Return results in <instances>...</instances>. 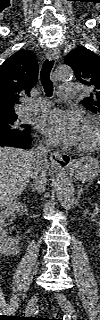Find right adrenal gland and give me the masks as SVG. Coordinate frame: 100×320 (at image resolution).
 <instances>
[{
    "label": "right adrenal gland",
    "mask_w": 100,
    "mask_h": 320,
    "mask_svg": "<svg viewBox=\"0 0 100 320\" xmlns=\"http://www.w3.org/2000/svg\"><path fill=\"white\" fill-rule=\"evenodd\" d=\"M30 186H31V188H32V192H35V191H36V189H35L34 185H33V184H31Z\"/></svg>",
    "instance_id": "obj_1"
}]
</instances>
